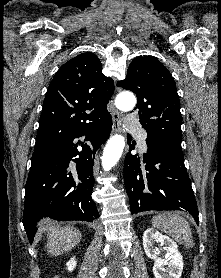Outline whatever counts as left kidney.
Instances as JSON below:
<instances>
[{
    "label": "left kidney",
    "mask_w": 221,
    "mask_h": 278,
    "mask_svg": "<svg viewBox=\"0 0 221 278\" xmlns=\"http://www.w3.org/2000/svg\"><path fill=\"white\" fill-rule=\"evenodd\" d=\"M164 246L170 258L166 261L159 257L160 251L154 244ZM143 247L146 255L155 261L153 274L155 278H180L183 271V258L175 241L152 228L143 233Z\"/></svg>",
    "instance_id": "5707ae66"
}]
</instances>
